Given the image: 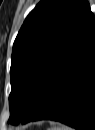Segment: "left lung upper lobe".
Here are the masks:
<instances>
[{
    "label": "left lung upper lobe",
    "instance_id": "5c2ea615",
    "mask_svg": "<svg viewBox=\"0 0 95 130\" xmlns=\"http://www.w3.org/2000/svg\"><path fill=\"white\" fill-rule=\"evenodd\" d=\"M92 18L85 0H42L27 16L13 45L9 123L27 113L52 68Z\"/></svg>",
    "mask_w": 95,
    "mask_h": 130
}]
</instances>
